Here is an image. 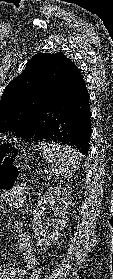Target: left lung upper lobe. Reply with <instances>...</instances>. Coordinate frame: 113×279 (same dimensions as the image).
<instances>
[{
  "label": "left lung upper lobe",
  "mask_w": 113,
  "mask_h": 279,
  "mask_svg": "<svg viewBox=\"0 0 113 279\" xmlns=\"http://www.w3.org/2000/svg\"><path fill=\"white\" fill-rule=\"evenodd\" d=\"M69 62L62 52L37 53L28 61L22 73L7 85L0 100V132L21 136L38 102Z\"/></svg>",
  "instance_id": "left-lung-upper-lobe-1"
}]
</instances>
